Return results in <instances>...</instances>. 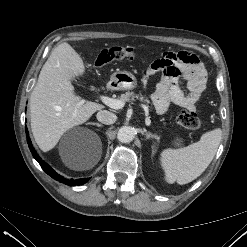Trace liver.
<instances>
[{
	"label": "liver",
	"mask_w": 247,
	"mask_h": 247,
	"mask_svg": "<svg viewBox=\"0 0 247 247\" xmlns=\"http://www.w3.org/2000/svg\"><path fill=\"white\" fill-rule=\"evenodd\" d=\"M84 73L82 58L68 43L58 45L43 65L30 97L31 129L42 151L53 149L67 130L104 108L75 95L71 82ZM100 158L101 150L91 159L66 165L73 170H88Z\"/></svg>",
	"instance_id": "liver-1"
}]
</instances>
